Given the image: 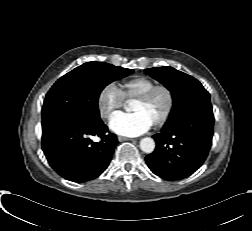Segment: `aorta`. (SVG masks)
<instances>
[{
    "label": "aorta",
    "mask_w": 252,
    "mask_h": 231,
    "mask_svg": "<svg viewBox=\"0 0 252 231\" xmlns=\"http://www.w3.org/2000/svg\"><path fill=\"white\" fill-rule=\"evenodd\" d=\"M140 149L147 154L152 153L155 149V141L150 137L141 139Z\"/></svg>",
    "instance_id": "762f6f07"
}]
</instances>
